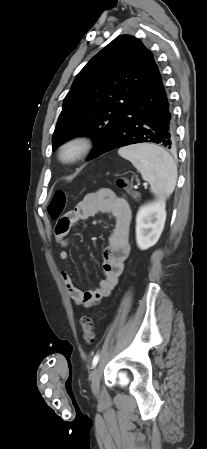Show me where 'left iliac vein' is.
I'll list each match as a JSON object with an SVG mask.
<instances>
[{"label": "left iliac vein", "mask_w": 207, "mask_h": 449, "mask_svg": "<svg viewBox=\"0 0 207 449\" xmlns=\"http://www.w3.org/2000/svg\"><path fill=\"white\" fill-rule=\"evenodd\" d=\"M101 374L102 372L99 366L95 367L90 374L91 389L94 394L99 393Z\"/></svg>", "instance_id": "obj_1"}]
</instances>
